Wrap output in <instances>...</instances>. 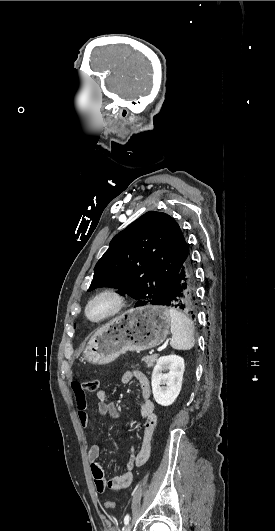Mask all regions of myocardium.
Masks as SVG:
<instances>
[{
    "label": "myocardium",
    "instance_id": "f54148a6",
    "mask_svg": "<svg viewBox=\"0 0 275 531\" xmlns=\"http://www.w3.org/2000/svg\"><path fill=\"white\" fill-rule=\"evenodd\" d=\"M98 303L107 304V309L100 315H93L91 310ZM124 306V297L114 288H105L91 296L84 306V317L92 323H100L118 314Z\"/></svg>",
    "mask_w": 275,
    "mask_h": 531
}]
</instances>
